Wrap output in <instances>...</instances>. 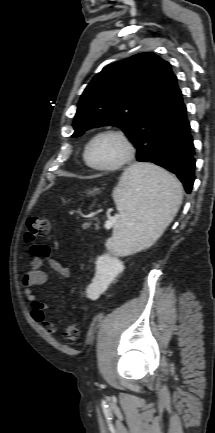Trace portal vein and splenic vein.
<instances>
[{
    "label": "portal vein and splenic vein",
    "mask_w": 215,
    "mask_h": 433,
    "mask_svg": "<svg viewBox=\"0 0 215 433\" xmlns=\"http://www.w3.org/2000/svg\"><path fill=\"white\" fill-rule=\"evenodd\" d=\"M115 222H116V218H108V220L106 221L105 227L107 229H110Z\"/></svg>",
    "instance_id": "obj_1"
}]
</instances>
